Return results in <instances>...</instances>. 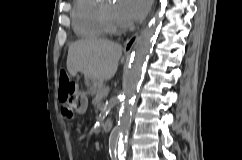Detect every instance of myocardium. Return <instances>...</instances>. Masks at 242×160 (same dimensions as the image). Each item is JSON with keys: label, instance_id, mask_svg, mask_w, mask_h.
<instances>
[{"label": "myocardium", "instance_id": "myocardium-1", "mask_svg": "<svg viewBox=\"0 0 242 160\" xmlns=\"http://www.w3.org/2000/svg\"><path fill=\"white\" fill-rule=\"evenodd\" d=\"M98 16H99V22L101 24V27L105 33L110 34V35H118V34L123 33L126 30L125 26L117 27V26L113 25L109 21L105 11L103 10V8L101 6H99V9H98Z\"/></svg>", "mask_w": 242, "mask_h": 160}]
</instances>
